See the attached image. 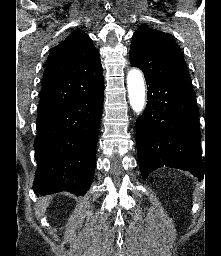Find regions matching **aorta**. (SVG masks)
Here are the masks:
<instances>
[{
  "label": "aorta",
  "mask_w": 221,
  "mask_h": 256,
  "mask_svg": "<svg viewBox=\"0 0 221 256\" xmlns=\"http://www.w3.org/2000/svg\"><path fill=\"white\" fill-rule=\"evenodd\" d=\"M127 88L130 105L134 112L139 113L145 107V83L138 69H131L127 75Z\"/></svg>",
  "instance_id": "obj_1"
}]
</instances>
